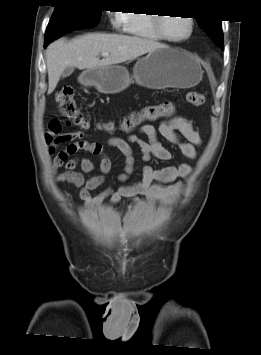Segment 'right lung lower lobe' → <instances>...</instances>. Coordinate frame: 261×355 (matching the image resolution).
<instances>
[{"label":"right lung lower lobe","mask_w":261,"mask_h":355,"mask_svg":"<svg viewBox=\"0 0 261 355\" xmlns=\"http://www.w3.org/2000/svg\"><path fill=\"white\" fill-rule=\"evenodd\" d=\"M73 30H76V29H66V30H62L58 33H55L49 37H45V42H44V47H47V45L49 43H51L53 40H56L57 38L61 37L62 35H65Z\"/></svg>","instance_id":"98d812e1"}]
</instances>
